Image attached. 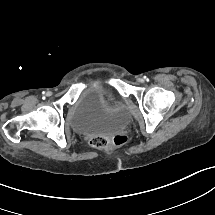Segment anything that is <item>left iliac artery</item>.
<instances>
[{"label":"left iliac artery","instance_id":"left-iliac-artery-1","mask_svg":"<svg viewBox=\"0 0 215 215\" xmlns=\"http://www.w3.org/2000/svg\"><path fill=\"white\" fill-rule=\"evenodd\" d=\"M146 80H148V78H146V76L144 77Z\"/></svg>","mask_w":215,"mask_h":215}]
</instances>
